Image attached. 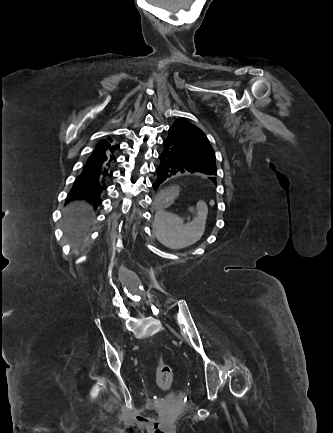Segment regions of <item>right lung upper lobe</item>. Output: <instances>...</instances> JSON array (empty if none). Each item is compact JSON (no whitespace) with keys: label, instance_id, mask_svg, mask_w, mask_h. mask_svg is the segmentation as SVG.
I'll return each mask as SVG.
<instances>
[{"label":"right lung upper lobe","instance_id":"1","mask_svg":"<svg viewBox=\"0 0 333 433\" xmlns=\"http://www.w3.org/2000/svg\"><path fill=\"white\" fill-rule=\"evenodd\" d=\"M103 143H104V144H108V145L114 144V143H113V140H111L110 138H108L107 141H106V140L103 141ZM110 143H111V144H110Z\"/></svg>","mask_w":333,"mask_h":433}]
</instances>
